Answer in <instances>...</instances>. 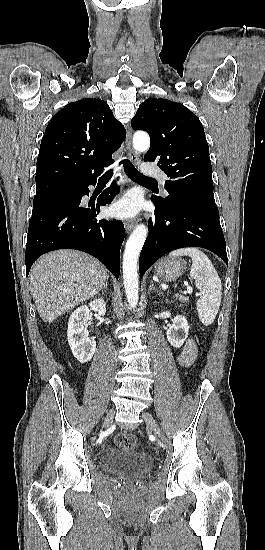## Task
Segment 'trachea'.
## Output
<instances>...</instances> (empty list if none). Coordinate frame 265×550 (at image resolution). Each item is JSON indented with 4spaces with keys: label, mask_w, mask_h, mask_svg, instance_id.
<instances>
[{
    "label": "trachea",
    "mask_w": 265,
    "mask_h": 550,
    "mask_svg": "<svg viewBox=\"0 0 265 550\" xmlns=\"http://www.w3.org/2000/svg\"><path fill=\"white\" fill-rule=\"evenodd\" d=\"M120 163L124 165L125 173L132 180L137 182H142V183H157L156 180L141 174L128 159H124ZM112 175H113V170L110 169L100 177V180H109L111 179Z\"/></svg>",
    "instance_id": "1"
}]
</instances>
